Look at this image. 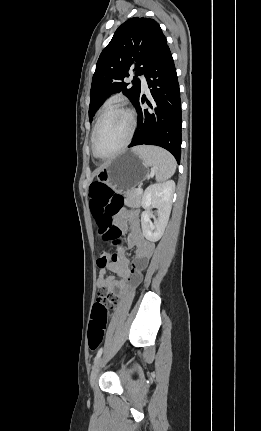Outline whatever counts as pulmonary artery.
Masks as SVG:
<instances>
[{"label": "pulmonary artery", "mask_w": 261, "mask_h": 431, "mask_svg": "<svg viewBox=\"0 0 261 431\" xmlns=\"http://www.w3.org/2000/svg\"><path fill=\"white\" fill-rule=\"evenodd\" d=\"M140 81H141L142 88L144 90H146L148 88L146 77L144 75H141L140 76Z\"/></svg>", "instance_id": "1"}]
</instances>
